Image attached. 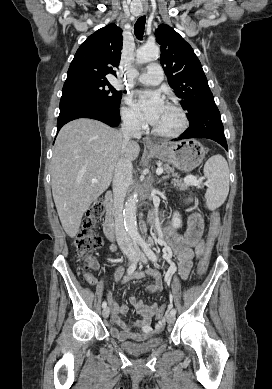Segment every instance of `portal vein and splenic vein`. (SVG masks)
Segmentation results:
<instances>
[{"label":"portal vein and splenic vein","mask_w":272,"mask_h":389,"mask_svg":"<svg viewBox=\"0 0 272 389\" xmlns=\"http://www.w3.org/2000/svg\"><path fill=\"white\" fill-rule=\"evenodd\" d=\"M163 168L162 167H158L157 170H156V174L157 175H161L163 173ZM186 182H189V183H192L194 185H197V186H200L202 184L201 181L197 180L196 177L194 176H189L188 178L185 179ZM98 180L96 179H92V183H97Z\"/></svg>","instance_id":"obj_1"}]
</instances>
